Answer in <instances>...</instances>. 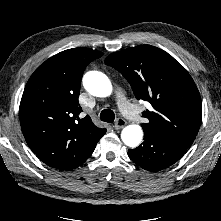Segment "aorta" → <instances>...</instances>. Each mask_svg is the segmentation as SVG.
Returning <instances> with one entry per match:
<instances>
[{
    "label": "aorta",
    "instance_id": "1",
    "mask_svg": "<svg viewBox=\"0 0 221 221\" xmlns=\"http://www.w3.org/2000/svg\"><path fill=\"white\" fill-rule=\"evenodd\" d=\"M83 86L87 92L96 97H107L112 93L113 87L109 78L102 72L89 71L83 77ZM143 138L140 125L126 126L121 133V139L129 147L138 146Z\"/></svg>",
    "mask_w": 221,
    "mask_h": 221
}]
</instances>
